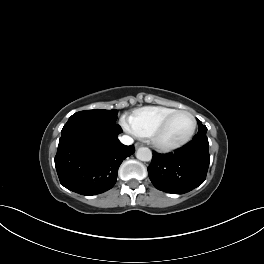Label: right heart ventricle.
I'll use <instances>...</instances> for the list:
<instances>
[{"label":"right heart ventricle","instance_id":"1","mask_svg":"<svg viewBox=\"0 0 264 264\" xmlns=\"http://www.w3.org/2000/svg\"><path fill=\"white\" fill-rule=\"evenodd\" d=\"M176 110L165 106H147L136 109L129 116L132 131L139 137L148 138L167 115Z\"/></svg>","mask_w":264,"mask_h":264}]
</instances>
